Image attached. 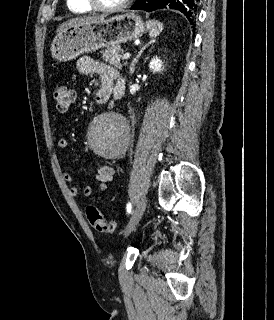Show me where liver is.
Instances as JSON below:
<instances>
[{"label": "liver", "instance_id": "obj_1", "mask_svg": "<svg viewBox=\"0 0 274 320\" xmlns=\"http://www.w3.org/2000/svg\"><path fill=\"white\" fill-rule=\"evenodd\" d=\"M106 16H80V18H73V20H68L64 24H60L57 32L68 28V26H76V24H86V22H95V20H105Z\"/></svg>", "mask_w": 274, "mask_h": 320}]
</instances>
